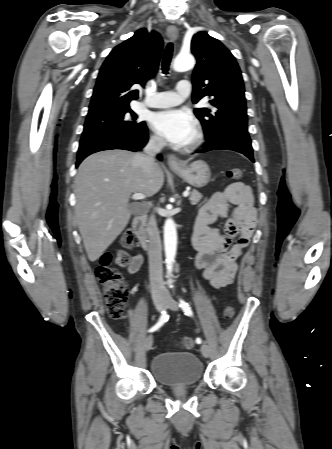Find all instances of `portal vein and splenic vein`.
<instances>
[{
    "instance_id": "1",
    "label": "portal vein and splenic vein",
    "mask_w": 332,
    "mask_h": 449,
    "mask_svg": "<svg viewBox=\"0 0 332 449\" xmlns=\"http://www.w3.org/2000/svg\"><path fill=\"white\" fill-rule=\"evenodd\" d=\"M189 195V192L188 191H185L184 193H183V196L184 197H187ZM145 198V195H143V194H141V193H135V194H133L132 195V199H134V200H137V199H144Z\"/></svg>"
}]
</instances>
